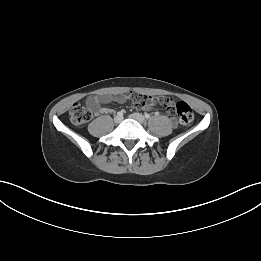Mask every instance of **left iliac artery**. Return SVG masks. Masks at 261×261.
I'll list each match as a JSON object with an SVG mask.
<instances>
[{
	"label": "left iliac artery",
	"mask_w": 261,
	"mask_h": 261,
	"mask_svg": "<svg viewBox=\"0 0 261 261\" xmlns=\"http://www.w3.org/2000/svg\"><path fill=\"white\" fill-rule=\"evenodd\" d=\"M145 118H146V119H149V118H150V115L146 113V114H145Z\"/></svg>",
	"instance_id": "left-iliac-artery-1"
}]
</instances>
